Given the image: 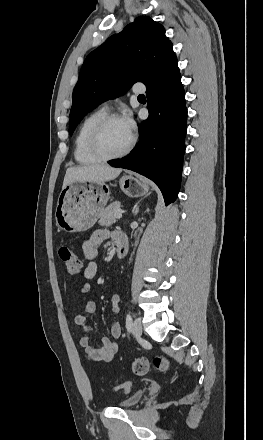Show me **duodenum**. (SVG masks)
Segmentation results:
<instances>
[{
    "label": "duodenum",
    "mask_w": 263,
    "mask_h": 440,
    "mask_svg": "<svg viewBox=\"0 0 263 440\" xmlns=\"http://www.w3.org/2000/svg\"><path fill=\"white\" fill-rule=\"evenodd\" d=\"M116 256L123 258L128 252V243L125 237L119 238L116 242Z\"/></svg>",
    "instance_id": "obj_1"
}]
</instances>
